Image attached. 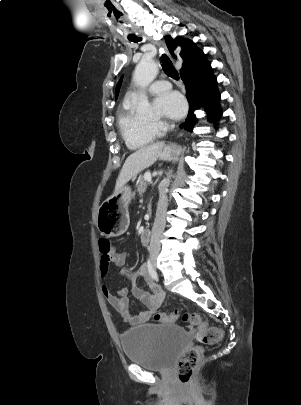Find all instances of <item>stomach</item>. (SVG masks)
I'll return each instance as SVG.
<instances>
[{
	"label": "stomach",
	"mask_w": 301,
	"mask_h": 405,
	"mask_svg": "<svg viewBox=\"0 0 301 405\" xmlns=\"http://www.w3.org/2000/svg\"><path fill=\"white\" fill-rule=\"evenodd\" d=\"M133 196L131 188L124 185L101 204L96 225L102 235L115 237L128 229L130 222L128 205Z\"/></svg>",
	"instance_id": "1"
}]
</instances>
